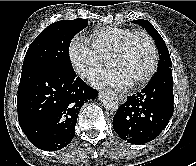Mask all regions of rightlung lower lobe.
<instances>
[{
  "mask_svg": "<svg viewBox=\"0 0 196 166\" xmlns=\"http://www.w3.org/2000/svg\"><path fill=\"white\" fill-rule=\"evenodd\" d=\"M97 94L75 72L45 67L23 71L17 100L20 127L37 148L62 149L75 135L80 107Z\"/></svg>",
  "mask_w": 196,
  "mask_h": 166,
  "instance_id": "1",
  "label": "right lung lower lobe"
}]
</instances>
